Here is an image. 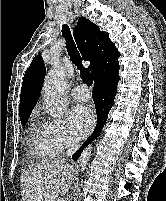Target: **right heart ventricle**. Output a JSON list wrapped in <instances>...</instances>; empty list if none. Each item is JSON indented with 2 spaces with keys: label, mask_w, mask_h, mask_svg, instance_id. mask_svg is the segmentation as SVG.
<instances>
[{
  "label": "right heart ventricle",
  "mask_w": 166,
  "mask_h": 201,
  "mask_svg": "<svg viewBox=\"0 0 166 201\" xmlns=\"http://www.w3.org/2000/svg\"><path fill=\"white\" fill-rule=\"evenodd\" d=\"M30 134L32 142L31 151L38 159L49 160L58 154L49 141L45 124L34 123L30 129Z\"/></svg>",
  "instance_id": "1"
}]
</instances>
